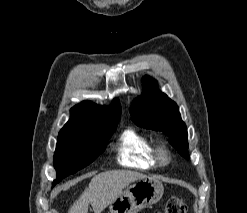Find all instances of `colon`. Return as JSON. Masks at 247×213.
I'll return each mask as SVG.
<instances>
[{
    "label": "colon",
    "instance_id": "1",
    "mask_svg": "<svg viewBox=\"0 0 247 213\" xmlns=\"http://www.w3.org/2000/svg\"><path fill=\"white\" fill-rule=\"evenodd\" d=\"M164 213H187L186 202L181 197H172L167 201Z\"/></svg>",
    "mask_w": 247,
    "mask_h": 213
}]
</instances>
